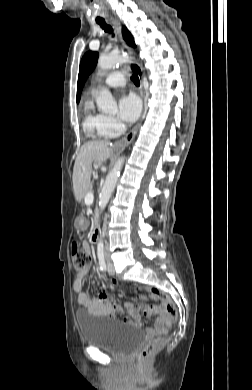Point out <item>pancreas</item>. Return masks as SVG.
Here are the masks:
<instances>
[{
	"mask_svg": "<svg viewBox=\"0 0 252 390\" xmlns=\"http://www.w3.org/2000/svg\"><path fill=\"white\" fill-rule=\"evenodd\" d=\"M79 205H80V206H83V207H82V210H83V211H86V210H87V207L84 206V205H85V202H84V201H80V202H79Z\"/></svg>",
	"mask_w": 252,
	"mask_h": 390,
	"instance_id": "cf45deb5",
	"label": "pancreas"
}]
</instances>
